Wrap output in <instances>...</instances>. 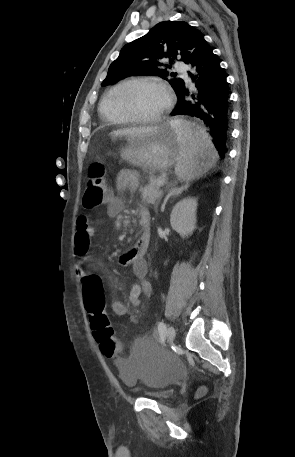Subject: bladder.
<instances>
[{
    "mask_svg": "<svg viewBox=\"0 0 295 457\" xmlns=\"http://www.w3.org/2000/svg\"><path fill=\"white\" fill-rule=\"evenodd\" d=\"M168 349L154 342H143L131 348L123 360L116 363L120 381L129 387L141 385L142 395L166 402L172 399L173 394L166 388L168 383H176L177 375L175 361L176 352H165Z\"/></svg>",
    "mask_w": 295,
    "mask_h": 457,
    "instance_id": "bladder-1",
    "label": "bladder"
}]
</instances>
